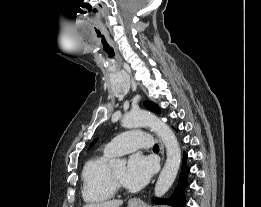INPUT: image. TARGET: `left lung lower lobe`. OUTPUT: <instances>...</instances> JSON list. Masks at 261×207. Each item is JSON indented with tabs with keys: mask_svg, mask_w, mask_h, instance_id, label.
Segmentation results:
<instances>
[{
	"mask_svg": "<svg viewBox=\"0 0 261 207\" xmlns=\"http://www.w3.org/2000/svg\"><path fill=\"white\" fill-rule=\"evenodd\" d=\"M186 159H187V155L184 154L179 182H178V185L176 186L171 198L167 199V200L153 198V203L167 204L172 207H184V204L186 203L184 191H185V188L188 186L187 174L189 173V168L186 165Z\"/></svg>",
	"mask_w": 261,
	"mask_h": 207,
	"instance_id": "obj_1",
	"label": "left lung lower lobe"
}]
</instances>
